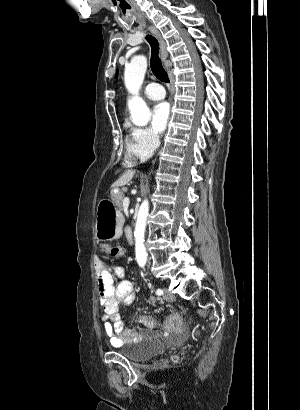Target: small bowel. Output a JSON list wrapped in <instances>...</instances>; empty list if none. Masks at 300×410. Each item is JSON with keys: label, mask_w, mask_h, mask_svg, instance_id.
<instances>
[{"label": "small bowel", "mask_w": 300, "mask_h": 410, "mask_svg": "<svg viewBox=\"0 0 300 410\" xmlns=\"http://www.w3.org/2000/svg\"><path fill=\"white\" fill-rule=\"evenodd\" d=\"M95 273L99 301L104 309L103 329L111 345L119 347L137 340L139 338L137 330L126 326L119 314L120 306H129L134 299L133 283L125 279V271L122 267H115L113 274L100 260L95 263ZM116 278L119 282L115 285ZM169 327L176 328L173 325Z\"/></svg>", "instance_id": "small-bowel-1"}]
</instances>
